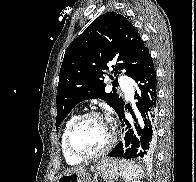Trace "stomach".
<instances>
[{
	"label": "stomach",
	"mask_w": 196,
	"mask_h": 182,
	"mask_svg": "<svg viewBox=\"0 0 196 182\" xmlns=\"http://www.w3.org/2000/svg\"><path fill=\"white\" fill-rule=\"evenodd\" d=\"M95 172L107 182H113L120 175V168L116 160L103 158L95 165ZM57 182H92L91 176L86 170L80 172H67L58 177Z\"/></svg>",
	"instance_id": "1"
}]
</instances>
